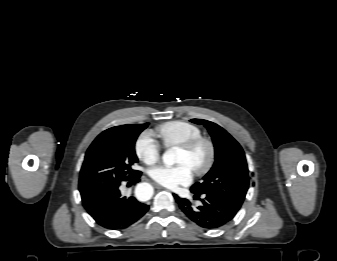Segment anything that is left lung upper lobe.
<instances>
[{"label": "left lung upper lobe", "mask_w": 337, "mask_h": 261, "mask_svg": "<svg viewBox=\"0 0 337 261\" xmlns=\"http://www.w3.org/2000/svg\"><path fill=\"white\" fill-rule=\"evenodd\" d=\"M191 122L204 125L208 129L215 147L213 167L203 177V181L191 187V191L216 197L238 211L249 187L248 167L243 149L219 125L202 119H193Z\"/></svg>", "instance_id": "5c2ea615"}]
</instances>
